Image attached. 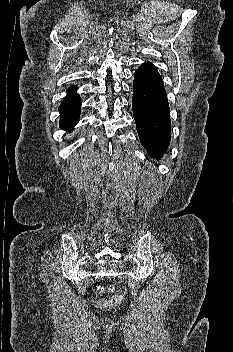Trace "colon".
<instances>
[{"mask_svg": "<svg viewBox=\"0 0 233 352\" xmlns=\"http://www.w3.org/2000/svg\"><path fill=\"white\" fill-rule=\"evenodd\" d=\"M124 300V295L118 293L110 299L97 302V306L100 308L114 307L121 304Z\"/></svg>", "mask_w": 233, "mask_h": 352, "instance_id": "5ec220e1", "label": "colon"}]
</instances>
